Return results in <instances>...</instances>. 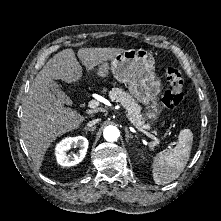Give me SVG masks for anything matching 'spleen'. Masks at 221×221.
<instances>
[{
	"mask_svg": "<svg viewBox=\"0 0 221 221\" xmlns=\"http://www.w3.org/2000/svg\"><path fill=\"white\" fill-rule=\"evenodd\" d=\"M193 134L190 129H182L174 149L159 152L153 161V179L156 184L164 185L176 180L189 161Z\"/></svg>",
	"mask_w": 221,
	"mask_h": 221,
	"instance_id": "obj_1",
	"label": "spleen"
}]
</instances>
